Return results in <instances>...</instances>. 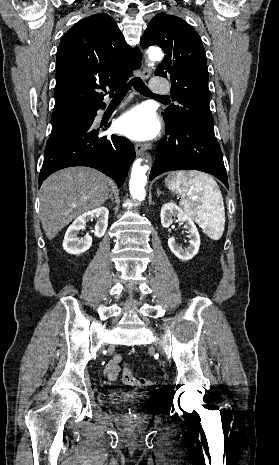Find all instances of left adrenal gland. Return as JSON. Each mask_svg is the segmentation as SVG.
Instances as JSON below:
<instances>
[{
  "label": "left adrenal gland",
  "mask_w": 279,
  "mask_h": 465,
  "mask_svg": "<svg viewBox=\"0 0 279 465\" xmlns=\"http://www.w3.org/2000/svg\"><path fill=\"white\" fill-rule=\"evenodd\" d=\"M161 194H164V193L161 192L160 189H157V196L159 197Z\"/></svg>",
  "instance_id": "a2214340"
}]
</instances>
